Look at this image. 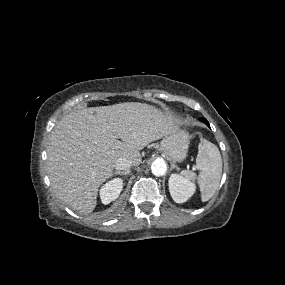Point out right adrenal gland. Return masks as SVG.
Instances as JSON below:
<instances>
[{"mask_svg":"<svg viewBox=\"0 0 285 285\" xmlns=\"http://www.w3.org/2000/svg\"><path fill=\"white\" fill-rule=\"evenodd\" d=\"M130 173V170L127 171H115L113 175H124L127 176Z\"/></svg>","mask_w":285,"mask_h":285,"instance_id":"right-adrenal-gland-1","label":"right adrenal gland"}]
</instances>
